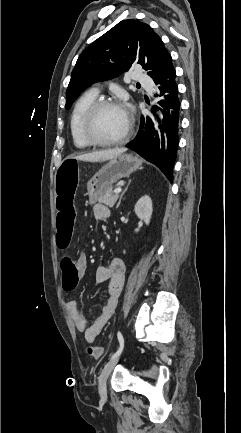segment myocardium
<instances>
[{"mask_svg":"<svg viewBox=\"0 0 241 433\" xmlns=\"http://www.w3.org/2000/svg\"><path fill=\"white\" fill-rule=\"evenodd\" d=\"M109 106H120L122 107V105L114 99H98L96 100L88 109V111L86 112L84 119H83V123H82V130H83V134L85 136V138L88 140L89 143H91L92 145H96V146H113V145H118L121 144L123 142H125L131 135L132 132V122L130 120V118L128 117V123H127V127L124 131V133L113 140H104L101 139L99 137L96 136V134L94 133V123L95 120L99 114V112L105 108V107H109Z\"/></svg>","mask_w":241,"mask_h":433,"instance_id":"obj_1","label":"myocardium"}]
</instances>
